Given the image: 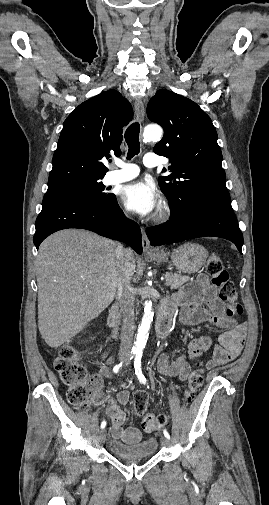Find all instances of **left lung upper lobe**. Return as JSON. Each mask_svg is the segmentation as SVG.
Here are the masks:
<instances>
[{
  "label": "left lung upper lobe",
  "instance_id": "left-lung-upper-lobe-1",
  "mask_svg": "<svg viewBox=\"0 0 269 505\" xmlns=\"http://www.w3.org/2000/svg\"><path fill=\"white\" fill-rule=\"evenodd\" d=\"M147 115L164 129L163 139L153 150L170 159L171 175L158 181L171 212L179 217L188 215L199 195L230 199L210 117L195 102L165 89L151 98Z\"/></svg>",
  "mask_w": 269,
  "mask_h": 505
}]
</instances>
